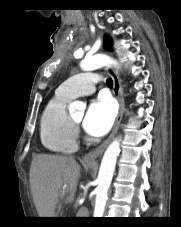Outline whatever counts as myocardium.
Masks as SVG:
<instances>
[{"label":"myocardium","mask_w":181,"mask_h":227,"mask_svg":"<svg viewBox=\"0 0 181 227\" xmlns=\"http://www.w3.org/2000/svg\"><path fill=\"white\" fill-rule=\"evenodd\" d=\"M71 121H72V123L74 124V126H78L79 123L76 122L74 119L71 118Z\"/></svg>","instance_id":"myocardium-1"}]
</instances>
